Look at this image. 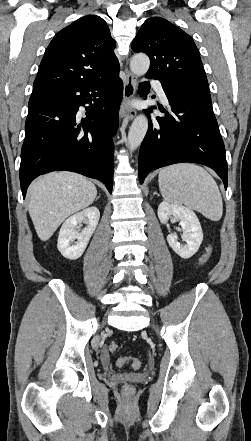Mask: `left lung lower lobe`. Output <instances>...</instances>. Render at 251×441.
Segmentation results:
<instances>
[{
	"instance_id": "obj_1",
	"label": "left lung lower lobe",
	"mask_w": 251,
	"mask_h": 441,
	"mask_svg": "<svg viewBox=\"0 0 251 441\" xmlns=\"http://www.w3.org/2000/svg\"><path fill=\"white\" fill-rule=\"evenodd\" d=\"M161 82V81H160ZM171 106V114L149 119L138 162L139 182L157 168L181 162L211 167L228 183L225 147L213 113L208 91L179 83L161 82ZM149 82L140 84L142 96L149 93ZM155 108V107H152ZM162 112L165 110L160 109ZM144 112L149 116L151 108Z\"/></svg>"
}]
</instances>
